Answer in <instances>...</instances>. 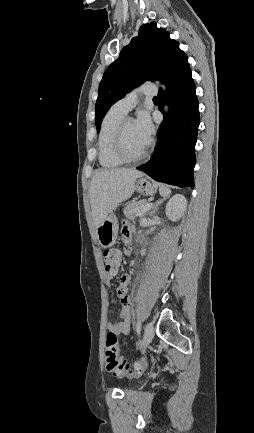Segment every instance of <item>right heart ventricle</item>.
Instances as JSON below:
<instances>
[{
  "mask_svg": "<svg viewBox=\"0 0 254 433\" xmlns=\"http://www.w3.org/2000/svg\"><path fill=\"white\" fill-rule=\"evenodd\" d=\"M124 117L125 114L110 109L102 121L98 136V159L103 168L114 169L124 164L113 148L117 126Z\"/></svg>",
  "mask_w": 254,
  "mask_h": 433,
  "instance_id": "e07e8e85",
  "label": "right heart ventricle"
}]
</instances>
